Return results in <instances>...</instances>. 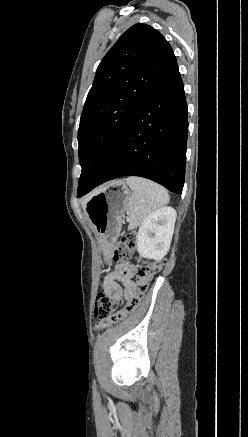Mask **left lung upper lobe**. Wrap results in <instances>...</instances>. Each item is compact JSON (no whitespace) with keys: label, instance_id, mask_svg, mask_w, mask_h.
I'll return each instance as SVG.
<instances>
[{"label":"left lung upper lobe","instance_id":"1","mask_svg":"<svg viewBox=\"0 0 248 437\" xmlns=\"http://www.w3.org/2000/svg\"><path fill=\"white\" fill-rule=\"evenodd\" d=\"M168 41L153 27H130L100 62L78 130L81 197L115 151L125 127L175 65Z\"/></svg>","mask_w":248,"mask_h":437}]
</instances>
